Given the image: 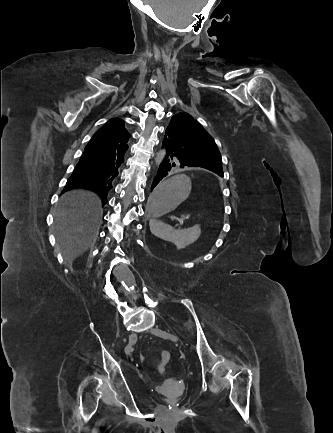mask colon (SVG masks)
I'll return each mask as SVG.
<instances>
[{
    "mask_svg": "<svg viewBox=\"0 0 333 433\" xmlns=\"http://www.w3.org/2000/svg\"><path fill=\"white\" fill-rule=\"evenodd\" d=\"M171 354L169 351L163 350L156 356V364L158 370L163 373L166 366L170 362Z\"/></svg>",
    "mask_w": 333,
    "mask_h": 433,
    "instance_id": "obj_1",
    "label": "colon"
}]
</instances>
